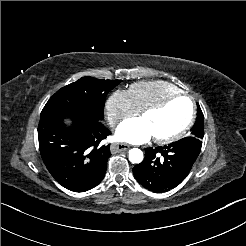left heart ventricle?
I'll return each instance as SVG.
<instances>
[{"label":"left heart ventricle","mask_w":246,"mask_h":246,"mask_svg":"<svg viewBox=\"0 0 246 246\" xmlns=\"http://www.w3.org/2000/svg\"><path fill=\"white\" fill-rule=\"evenodd\" d=\"M191 105L187 98L181 97L170 102L162 110L142 117L153 137H167L181 129L189 115Z\"/></svg>","instance_id":"b2bd125f"}]
</instances>
